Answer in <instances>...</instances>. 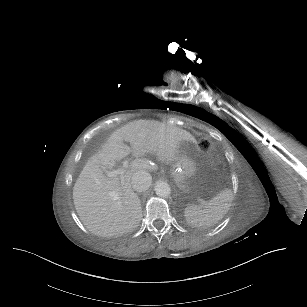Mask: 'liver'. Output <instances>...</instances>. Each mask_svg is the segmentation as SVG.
<instances>
[{
	"mask_svg": "<svg viewBox=\"0 0 307 307\" xmlns=\"http://www.w3.org/2000/svg\"><path fill=\"white\" fill-rule=\"evenodd\" d=\"M182 141L196 143L190 132L156 120H134L114 131L103 151L89 158L73 187L75 209L86 228L107 237L138 227L142 209L131 177L135 172L151 170L149 161L140 157L155 152L159 161L169 164L178 159ZM130 153L135 157L131 170L120 177L104 174Z\"/></svg>",
	"mask_w": 307,
	"mask_h": 307,
	"instance_id": "obj_1",
	"label": "liver"
}]
</instances>
